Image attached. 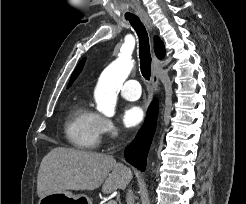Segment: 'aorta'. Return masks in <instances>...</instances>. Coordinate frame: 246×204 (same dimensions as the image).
<instances>
[{
  "label": "aorta",
  "mask_w": 246,
  "mask_h": 204,
  "mask_svg": "<svg viewBox=\"0 0 246 204\" xmlns=\"http://www.w3.org/2000/svg\"><path fill=\"white\" fill-rule=\"evenodd\" d=\"M133 66L134 62L129 57L120 56L102 72L95 90V101L97 110L105 116H114L118 89Z\"/></svg>",
  "instance_id": "obj_1"
}]
</instances>
